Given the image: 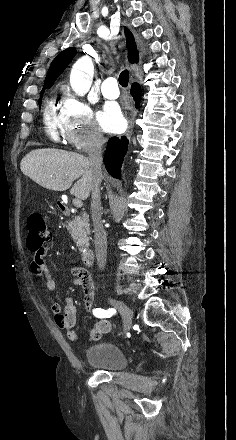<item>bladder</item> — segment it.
<instances>
[{
    "label": "bladder",
    "mask_w": 236,
    "mask_h": 440,
    "mask_svg": "<svg viewBox=\"0 0 236 440\" xmlns=\"http://www.w3.org/2000/svg\"><path fill=\"white\" fill-rule=\"evenodd\" d=\"M85 357L88 364L106 371H121L127 366V358L122 349L108 341L90 345Z\"/></svg>",
    "instance_id": "1"
}]
</instances>
